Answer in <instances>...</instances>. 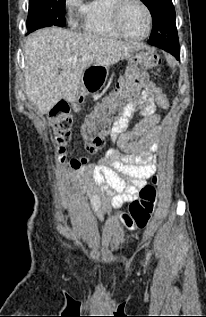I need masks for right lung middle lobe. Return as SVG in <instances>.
<instances>
[{
	"mask_svg": "<svg viewBox=\"0 0 206 317\" xmlns=\"http://www.w3.org/2000/svg\"><path fill=\"white\" fill-rule=\"evenodd\" d=\"M65 24V0L29 1L28 33L52 25L63 27Z\"/></svg>",
	"mask_w": 206,
	"mask_h": 317,
	"instance_id": "dd1d6c3e",
	"label": "right lung middle lobe"
}]
</instances>
